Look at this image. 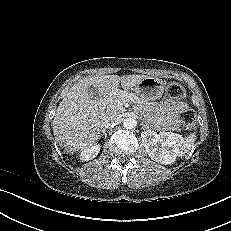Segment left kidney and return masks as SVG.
Here are the masks:
<instances>
[{"mask_svg": "<svg viewBox=\"0 0 231 231\" xmlns=\"http://www.w3.org/2000/svg\"><path fill=\"white\" fill-rule=\"evenodd\" d=\"M143 145L149 157L161 164H172L175 162L179 148L184 138L172 132H160L146 130L141 133ZM160 145V146H159Z\"/></svg>", "mask_w": 231, "mask_h": 231, "instance_id": "1", "label": "left kidney"}]
</instances>
